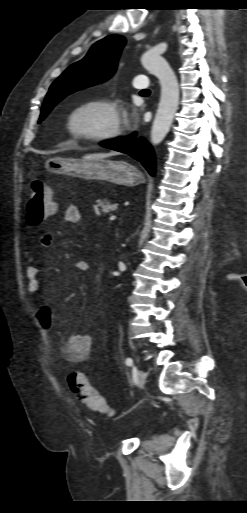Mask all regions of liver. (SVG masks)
<instances>
[{
  "label": "liver",
  "instance_id": "1",
  "mask_svg": "<svg viewBox=\"0 0 247 513\" xmlns=\"http://www.w3.org/2000/svg\"><path fill=\"white\" fill-rule=\"evenodd\" d=\"M117 152H110V153H94V154H87L83 158L84 159H100L105 158L113 155H117Z\"/></svg>",
  "mask_w": 247,
  "mask_h": 513
}]
</instances>
